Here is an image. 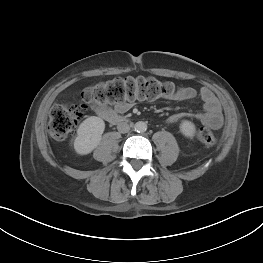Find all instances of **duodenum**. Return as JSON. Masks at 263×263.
<instances>
[{
  "label": "duodenum",
  "instance_id": "obj_1",
  "mask_svg": "<svg viewBox=\"0 0 263 263\" xmlns=\"http://www.w3.org/2000/svg\"><path fill=\"white\" fill-rule=\"evenodd\" d=\"M105 116L109 121L114 122V123H121L124 121L123 117L116 115V114H106Z\"/></svg>",
  "mask_w": 263,
  "mask_h": 263
}]
</instances>
